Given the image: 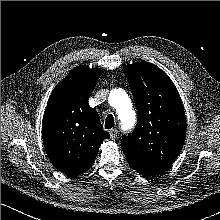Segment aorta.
Segmentation results:
<instances>
[{"instance_id": "obj_1", "label": "aorta", "mask_w": 220, "mask_h": 220, "mask_svg": "<svg viewBox=\"0 0 220 220\" xmlns=\"http://www.w3.org/2000/svg\"><path fill=\"white\" fill-rule=\"evenodd\" d=\"M109 102L116 109L123 131L131 130L135 125V112L125 91L113 89L109 94Z\"/></svg>"}]
</instances>
